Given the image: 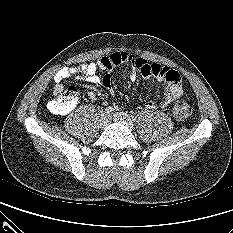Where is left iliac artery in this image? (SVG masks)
Wrapping results in <instances>:
<instances>
[{
	"label": "left iliac artery",
	"mask_w": 233,
	"mask_h": 233,
	"mask_svg": "<svg viewBox=\"0 0 233 233\" xmlns=\"http://www.w3.org/2000/svg\"><path fill=\"white\" fill-rule=\"evenodd\" d=\"M131 119H132V121L135 122L137 120V117L133 115V116H131Z\"/></svg>",
	"instance_id": "left-iliac-artery-1"
}]
</instances>
